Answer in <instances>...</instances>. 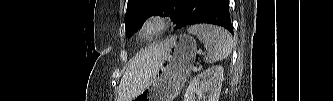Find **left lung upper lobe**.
<instances>
[{
    "instance_id": "5c2ea615",
    "label": "left lung upper lobe",
    "mask_w": 333,
    "mask_h": 101,
    "mask_svg": "<svg viewBox=\"0 0 333 101\" xmlns=\"http://www.w3.org/2000/svg\"><path fill=\"white\" fill-rule=\"evenodd\" d=\"M183 10L181 0H128L125 15L127 36L130 37L147 18L159 12L170 14L171 20L178 25Z\"/></svg>"
}]
</instances>
